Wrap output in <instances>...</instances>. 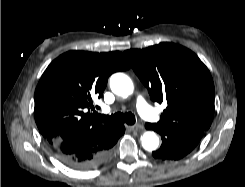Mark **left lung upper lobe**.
I'll return each instance as SVG.
<instances>
[{
    "instance_id": "5c2ea615",
    "label": "left lung upper lobe",
    "mask_w": 245,
    "mask_h": 187,
    "mask_svg": "<svg viewBox=\"0 0 245 187\" xmlns=\"http://www.w3.org/2000/svg\"><path fill=\"white\" fill-rule=\"evenodd\" d=\"M124 55L148 88L150 98L168 106L159 124L170 129H209L214 116V84L208 68L189 49L160 43Z\"/></svg>"
}]
</instances>
